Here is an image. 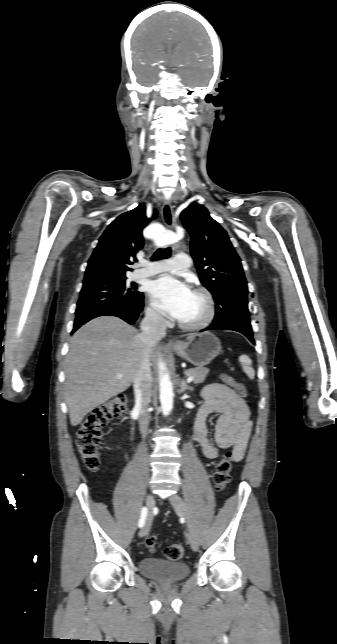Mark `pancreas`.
I'll return each mask as SVG.
<instances>
[{
	"label": "pancreas",
	"mask_w": 337,
	"mask_h": 644,
	"mask_svg": "<svg viewBox=\"0 0 337 644\" xmlns=\"http://www.w3.org/2000/svg\"><path fill=\"white\" fill-rule=\"evenodd\" d=\"M208 372H209V369L204 368V367H202V368L198 367V368L186 369L184 371V374L187 377L193 376L194 377V380H193L194 384H199V383H201V382H203L205 380L206 375L208 374Z\"/></svg>",
	"instance_id": "1"
}]
</instances>
